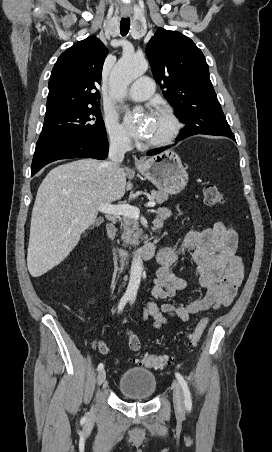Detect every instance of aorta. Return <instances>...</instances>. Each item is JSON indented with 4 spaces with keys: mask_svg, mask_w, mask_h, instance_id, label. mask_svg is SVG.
<instances>
[{
    "mask_svg": "<svg viewBox=\"0 0 272 452\" xmlns=\"http://www.w3.org/2000/svg\"><path fill=\"white\" fill-rule=\"evenodd\" d=\"M148 69V64L144 58L135 55H123L115 65L110 76V87L113 95L118 101L126 92L127 87ZM142 260L140 256H135L131 263L129 283L126 293L136 296L142 276Z\"/></svg>",
    "mask_w": 272,
    "mask_h": 452,
    "instance_id": "aorta-1",
    "label": "aorta"
}]
</instances>
